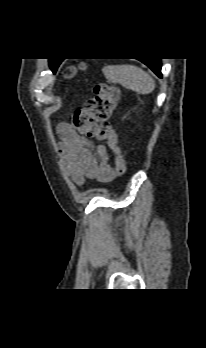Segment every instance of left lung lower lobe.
<instances>
[{
  "instance_id": "left-lung-lower-lobe-1",
  "label": "left lung lower lobe",
  "mask_w": 206,
  "mask_h": 348,
  "mask_svg": "<svg viewBox=\"0 0 206 348\" xmlns=\"http://www.w3.org/2000/svg\"><path fill=\"white\" fill-rule=\"evenodd\" d=\"M140 61L146 64L157 76L162 77L160 59H144Z\"/></svg>"
}]
</instances>
